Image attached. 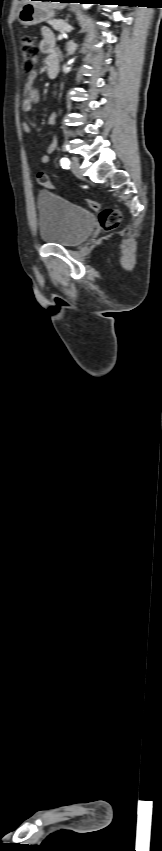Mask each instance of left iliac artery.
Instances as JSON below:
<instances>
[{
    "label": "left iliac artery",
    "mask_w": 162,
    "mask_h": 851,
    "mask_svg": "<svg viewBox=\"0 0 162 851\" xmlns=\"http://www.w3.org/2000/svg\"><path fill=\"white\" fill-rule=\"evenodd\" d=\"M60 162L63 168H68L70 165V161L68 158H62Z\"/></svg>",
    "instance_id": "obj_1"
}]
</instances>
